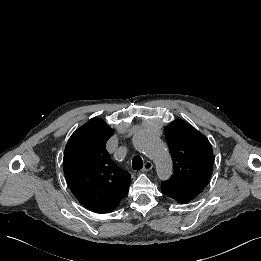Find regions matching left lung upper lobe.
Listing matches in <instances>:
<instances>
[{
	"label": "left lung upper lobe",
	"instance_id": "left-lung-upper-lobe-1",
	"mask_svg": "<svg viewBox=\"0 0 261 261\" xmlns=\"http://www.w3.org/2000/svg\"><path fill=\"white\" fill-rule=\"evenodd\" d=\"M165 137L174 163L173 176L162 188L193 199L207 185L213 169V151L208 139L182 120L165 127Z\"/></svg>",
	"mask_w": 261,
	"mask_h": 261
}]
</instances>
